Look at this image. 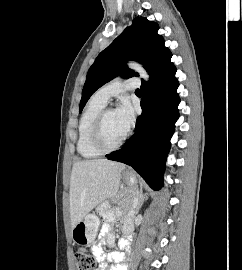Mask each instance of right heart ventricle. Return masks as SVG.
Returning a JSON list of instances; mask_svg holds the SVG:
<instances>
[{"mask_svg":"<svg viewBox=\"0 0 242 270\" xmlns=\"http://www.w3.org/2000/svg\"><path fill=\"white\" fill-rule=\"evenodd\" d=\"M106 103L97 100L94 96L87 104L79 122L77 151L86 159L98 157L102 154L91 143V132L99 113L105 108Z\"/></svg>","mask_w":242,"mask_h":270,"instance_id":"right-heart-ventricle-1","label":"right heart ventricle"}]
</instances>
